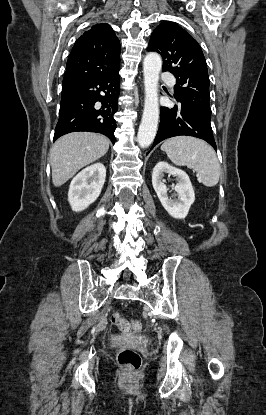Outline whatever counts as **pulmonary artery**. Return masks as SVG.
I'll return each instance as SVG.
<instances>
[{
    "instance_id": "obj_1",
    "label": "pulmonary artery",
    "mask_w": 266,
    "mask_h": 415,
    "mask_svg": "<svg viewBox=\"0 0 266 415\" xmlns=\"http://www.w3.org/2000/svg\"><path fill=\"white\" fill-rule=\"evenodd\" d=\"M162 79L169 85L174 86L175 85V79L170 74H163Z\"/></svg>"
}]
</instances>
